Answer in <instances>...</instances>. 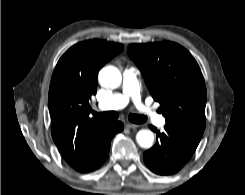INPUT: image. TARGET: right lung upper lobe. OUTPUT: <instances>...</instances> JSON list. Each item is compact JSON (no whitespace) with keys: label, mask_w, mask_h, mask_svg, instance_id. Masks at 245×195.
Here are the masks:
<instances>
[{"label":"right lung upper lobe","mask_w":245,"mask_h":195,"mask_svg":"<svg viewBox=\"0 0 245 195\" xmlns=\"http://www.w3.org/2000/svg\"><path fill=\"white\" fill-rule=\"evenodd\" d=\"M123 48L103 40L80 42L62 55L54 69L48 95L52 138L75 170L90 164L96 134L105 123L89 118L98 71Z\"/></svg>","instance_id":"right-lung-upper-lobe-1"}]
</instances>
